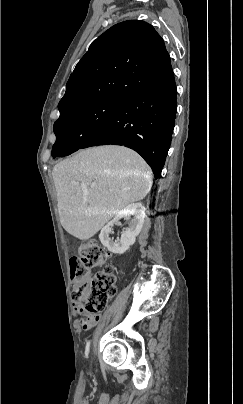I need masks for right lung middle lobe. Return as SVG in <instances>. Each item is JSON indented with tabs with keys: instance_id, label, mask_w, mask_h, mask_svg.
Wrapping results in <instances>:
<instances>
[{
	"instance_id": "obj_1",
	"label": "right lung middle lobe",
	"mask_w": 243,
	"mask_h": 404,
	"mask_svg": "<svg viewBox=\"0 0 243 404\" xmlns=\"http://www.w3.org/2000/svg\"><path fill=\"white\" fill-rule=\"evenodd\" d=\"M124 98H103L78 105L54 123L56 142L52 157H64L82 148L116 113Z\"/></svg>"
}]
</instances>
